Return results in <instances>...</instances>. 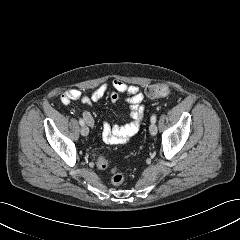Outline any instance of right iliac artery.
Segmentation results:
<instances>
[{
  "instance_id": "82829eb1",
  "label": "right iliac artery",
  "mask_w": 240,
  "mask_h": 240,
  "mask_svg": "<svg viewBox=\"0 0 240 240\" xmlns=\"http://www.w3.org/2000/svg\"><path fill=\"white\" fill-rule=\"evenodd\" d=\"M79 124H80L81 126H83V125H84V120H83V119H79Z\"/></svg>"
}]
</instances>
